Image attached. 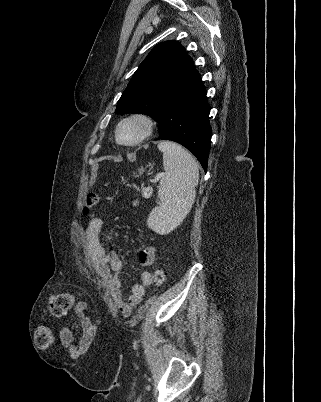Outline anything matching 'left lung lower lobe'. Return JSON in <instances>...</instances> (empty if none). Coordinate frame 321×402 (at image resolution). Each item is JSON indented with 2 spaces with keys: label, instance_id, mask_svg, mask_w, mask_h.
I'll list each match as a JSON object with an SVG mask.
<instances>
[{
  "label": "left lung lower lobe",
  "instance_id": "left-lung-lower-lobe-1",
  "mask_svg": "<svg viewBox=\"0 0 321 402\" xmlns=\"http://www.w3.org/2000/svg\"><path fill=\"white\" fill-rule=\"evenodd\" d=\"M210 106L201 76L194 69L166 97L160 108L159 138L189 149L207 170L210 151Z\"/></svg>",
  "mask_w": 321,
  "mask_h": 402
}]
</instances>
